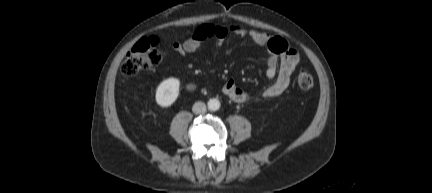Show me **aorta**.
<instances>
[{
	"label": "aorta",
	"instance_id": "1",
	"mask_svg": "<svg viewBox=\"0 0 432 193\" xmlns=\"http://www.w3.org/2000/svg\"><path fill=\"white\" fill-rule=\"evenodd\" d=\"M220 101L216 98L210 99L208 101V109L211 111H217L220 108Z\"/></svg>",
	"mask_w": 432,
	"mask_h": 193
}]
</instances>
